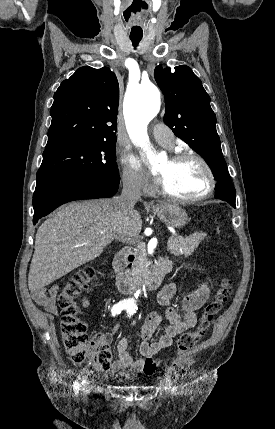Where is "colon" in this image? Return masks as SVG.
<instances>
[{"label": "colon", "mask_w": 275, "mask_h": 429, "mask_svg": "<svg viewBox=\"0 0 275 429\" xmlns=\"http://www.w3.org/2000/svg\"><path fill=\"white\" fill-rule=\"evenodd\" d=\"M95 276V268L88 266L75 273L62 287L58 295V306L61 310V336L64 348L73 362H89L97 370L107 371L112 362L108 341L102 338L89 340L86 325L78 317L76 302L78 295L92 284ZM231 293L232 281L224 277L220 281L214 299L204 307L198 324L179 338L176 358L168 369L171 375L179 377L187 372L193 363L192 349L205 337L213 319L222 310ZM155 368V361L148 360L145 367L146 374H151Z\"/></svg>", "instance_id": "5ec220e1"}]
</instances>
